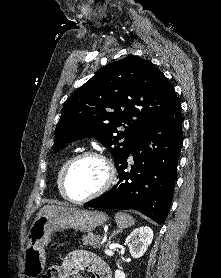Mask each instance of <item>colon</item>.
I'll list each match as a JSON object with an SVG mask.
<instances>
[{
  "mask_svg": "<svg viewBox=\"0 0 221 278\" xmlns=\"http://www.w3.org/2000/svg\"><path fill=\"white\" fill-rule=\"evenodd\" d=\"M48 273L51 276V278H56L59 275V267L58 266L52 267Z\"/></svg>",
  "mask_w": 221,
  "mask_h": 278,
  "instance_id": "obj_1",
  "label": "colon"
}]
</instances>
